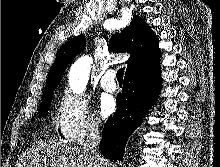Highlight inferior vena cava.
<instances>
[{
  "instance_id": "obj_1",
  "label": "inferior vena cava",
  "mask_w": 220,
  "mask_h": 167,
  "mask_svg": "<svg viewBox=\"0 0 220 167\" xmlns=\"http://www.w3.org/2000/svg\"><path fill=\"white\" fill-rule=\"evenodd\" d=\"M100 140L101 137L98 130V124L96 122H90L87 127V139L83 149L98 162H100V158L97 154V150Z\"/></svg>"
}]
</instances>
